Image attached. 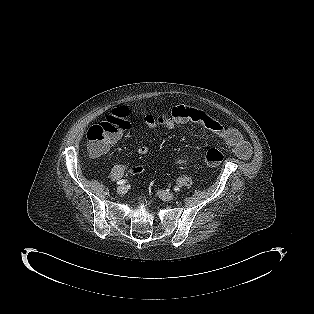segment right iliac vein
I'll return each instance as SVG.
<instances>
[{
  "instance_id": "63e3f726",
  "label": "right iliac vein",
  "mask_w": 314,
  "mask_h": 314,
  "mask_svg": "<svg viewBox=\"0 0 314 314\" xmlns=\"http://www.w3.org/2000/svg\"><path fill=\"white\" fill-rule=\"evenodd\" d=\"M126 191H127V188H126V186H124V185H121V186H119V187L117 188V192H118L119 194H121V195L125 194Z\"/></svg>"
}]
</instances>
